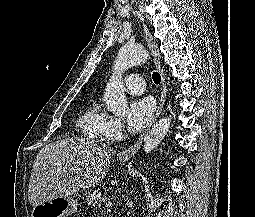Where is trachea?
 Wrapping results in <instances>:
<instances>
[{
  "instance_id": "1",
  "label": "trachea",
  "mask_w": 255,
  "mask_h": 217,
  "mask_svg": "<svg viewBox=\"0 0 255 217\" xmlns=\"http://www.w3.org/2000/svg\"><path fill=\"white\" fill-rule=\"evenodd\" d=\"M152 78L155 84H159L161 82V76L158 72H154L152 74Z\"/></svg>"
}]
</instances>
